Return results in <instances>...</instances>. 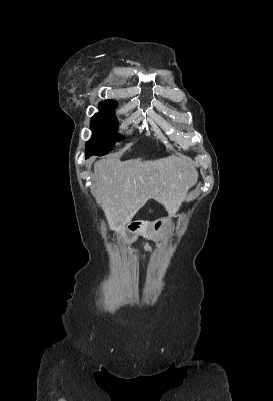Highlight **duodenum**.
Wrapping results in <instances>:
<instances>
[{
  "mask_svg": "<svg viewBox=\"0 0 273 401\" xmlns=\"http://www.w3.org/2000/svg\"><path fill=\"white\" fill-rule=\"evenodd\" d=\"M142 227L143 224L141 222H134L129 226L131 232H137L142 229Z\"/></svg>",
  "mask_w": 273,
  "mask_h": 401,
  "instance_id": "410a0bca",
  "label": "duodenum"
}]
</instances>
